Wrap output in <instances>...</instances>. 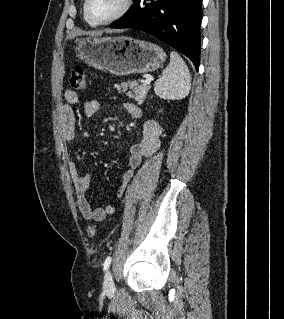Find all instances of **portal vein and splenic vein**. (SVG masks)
Wrapping results in <instances>:
<instances>
[{"instance_id": "obj_1", "label": "portal vein and splenic vein", "mask_w": 284, "mask_h": 319, "mask_svg": "<svg viewBox=\"0 0 284 319\" xmlns=\"http://www.w3.org/2000/svg\"><path fill=\"white\" fill-rule=\"evenodd\" d=\"M150 82H151V80L149 78L144 80V83H146V84H150Z\"/></svg>"}]
</instances>
